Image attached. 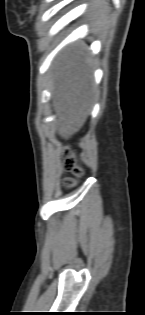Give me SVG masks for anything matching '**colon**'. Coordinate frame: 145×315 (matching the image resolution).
<instances>
[{
  "mask_svg": "<svg viewBox=\"0 0 145 315\" xmlns=\"http://www.w3.org/2000/svg\"><path fill=\"white\" fill-rule=\"evenodd\" d=\"M66 164L75 177H79L83 174V169L76 163L74 156L70 152L65 153ZM63 186L66 189H70L74 186L73 178H66L63 182Z\"/></svg>",
  "mask_w": 145,
  "mask_h": 315,
  "instance_id": "obj_1",
  "label": "colon"
}]
</instances>
